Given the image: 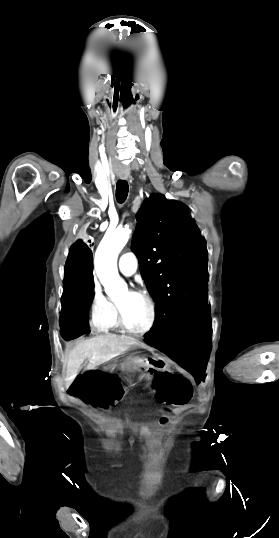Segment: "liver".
<instances>
[{
	"label": "liver",
	"mask_w": 279,
	"mask_h": 538,
	"mask_svg": "<svg viewBox=\"0 0 279 538\" xmlns=\"http://www.w3.org/2000/svg\"><path fill=\"white\" fill-rule=\"evenodd\" d=\"M132 346H142V344L134 340V338L116 336V334L95 336V338L81 342L69 354L66 370L67 384H72L73 380L78 376V370L86 358H89L86 370H95L100 364L109 362V360L120 356V354H125Z\"/></svg>",
	"instance_id": "liver-1"
}]
</instances>
